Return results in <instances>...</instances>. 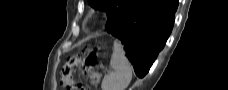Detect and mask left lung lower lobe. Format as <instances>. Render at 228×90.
I'll list each match as a JSON object with an SVG mask.
<instances>
[{
  "label": "left lung lower lobe",
  "mask_w": 228,
  "mask_h": 90,
  "mask_svg": "<svg viewBox=\"0 0 228 90\" xmlns=\"http://www.w3.org/2000/svg\"><path fill=\"white\" fill-rule=\"evenodd\" d=\"M178 0H130L128 7L109 26L133 64L137 76L149 71L171 33Z\"/></svg>",
  "instance_id": "1"
}]
</instances>
